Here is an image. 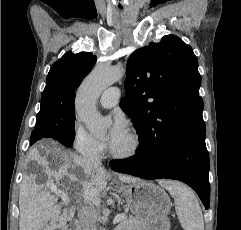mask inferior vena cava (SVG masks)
I'll list each match as a JSON object with an SVG mask.
<instances>
[{
  "instance_id": "1",
  "label": "inferior vena cava",
  "mask_w": 241,
  "mask_h": 230,
  "mask_svg": "<svg viewBox=\"0 0 241 230\" xmlns=\"http://www.w3.org/2000/svg\"><path fill=\"white\" fill-rule=\"evenodd\" d=\"M85 174L90 175L94 168L101 165L100 157L95 153H87L82 158ZM82 230H96V210L92 204L85 205L78 212Z\"/></svg>"
}]
</instances>
